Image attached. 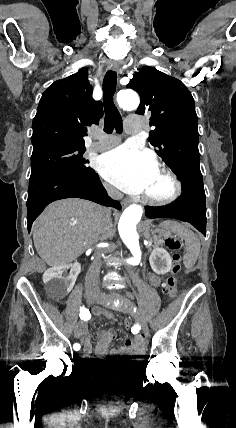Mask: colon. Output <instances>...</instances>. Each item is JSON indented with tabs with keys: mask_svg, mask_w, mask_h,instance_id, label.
Wrapping results in <instances>:
<instances>
[{
	"mask_svg": "<svg viewBox=\"0 0 236 428\" xmlns=\"http://www.w3.org/2000/svg\"><path fill=\"white\" fill-rule=\"evenodd\" d=\"M165 244L167 248L171 251H178L181 247L180 241L174 236H168L165 240ZM181 270V258L178 253H174L173 255V267H172V275L168 277L164 284V291L168 299H173L176 295V287L178 284L177 274ZM126 328H130L131 323L129 321H125L124 323Z\"/></svg>",
	"mask_w": 236,
	"mask_h": 428,
	"instance_id": "5ec220e1",
	"label": "colon"
}]
</instances>
